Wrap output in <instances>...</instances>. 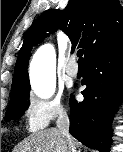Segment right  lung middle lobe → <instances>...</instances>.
<instances>
[{
	"mask_svg": "<svg viewBox=\"0 0 123 152\" xmlns=\"http://www.w3.org/2000/svg\"><path fill=\"white\" fill-rule=\"evenodd\" d=\"M30 85L11 94L10 104L5 115V121L18 119L29 106Z\"/></svg>",
	"mask_w": 123,
	"mask_h": 152,
	"instance_id": "obj_1",
	"label": "right lung middle lobe"
}]
</instances>
